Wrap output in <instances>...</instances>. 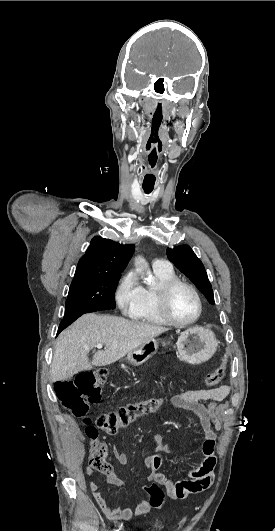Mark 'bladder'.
Returning <instances> with one entry per match:
<instances>
[{"instance_id":"31cf9c89","label":"bladder","mask_w":275,"mask_h":531,"mask_svg":"<svg viewBox=\"0 0 275 531\" xmlns=\"http://www.w3.org/2000/svg\"><path fill=\"white\" fill-rule=\"evenodd\" d=\"M149 525L156 529V528L162 526V523L161 522H153V523H149ZM153 531H155V530H153Z\"/></svg>"}]
</instances>
